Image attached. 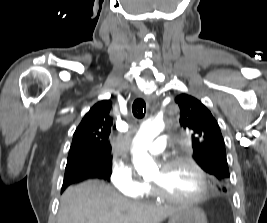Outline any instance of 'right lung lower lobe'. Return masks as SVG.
I'll use <instances>...</instances> for the list:
<instances>
[{"label":"right lung lower lobe","mask_w":267,"mask_h":223,"mask_svg":"<svg viewBox=\"0 0 267 223\" xmlns=\"http://www.w3.org/2000/svg\"><path fill=\"white\" fill-rule=\"evenodd\" d=\"M88 178H99L103 179L102 175L96 171H88V170H75L72 172L65 173V178L63 181L62 191L69 186L78 181H82Z\"/></svg>","instance_id":"obj_1"}]
</instances>
